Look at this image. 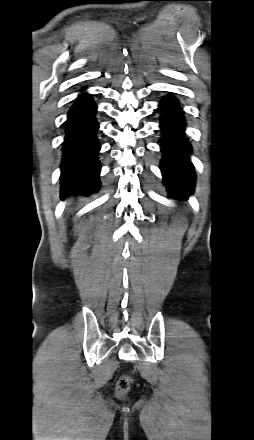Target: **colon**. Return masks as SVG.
<instances>
[{"mask_svg":"<svg viewBox=\"0 0 254 440\" xmlns=\"http://www.w3.org/2000/svg\"><path fill=\"white\" fill-rule=\"evenodd\" d=\"M131 385H132V380L130 377L128 376L120 377L116 383V388H115L117 396L119 397L124 396L130 389Z\"/></svg>","mask_w":254,"mask_h":440,"instance_id":"1","label":"colon"}]
</instances>
